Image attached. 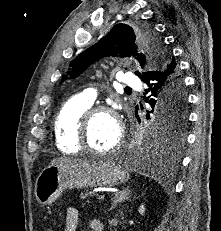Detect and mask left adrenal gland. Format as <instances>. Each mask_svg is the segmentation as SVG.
I'll return each instance as SVG.
<instances>
[{
  "mask_svg": "<svg viewBox=\"0 0 221 231\" xmlns=\"http://www.w3.org/2000/svg\"><path fill=\"white\" fill-rule=\"evenodd\" d=\"M131 191L129 190V187L123 189L122 191L118 192L115 194V196L112 198V204L111 207L109 208L110 210H113L114 208L117 207L118 204L124 202L125 200L130 198Z\"/></svg>",
  "mask_w": 221,
  "mask_h": 231,
  "instance_id": "left-adrenal-gland-1",
  "label": "left adrenal gland"
}]
</instances>
